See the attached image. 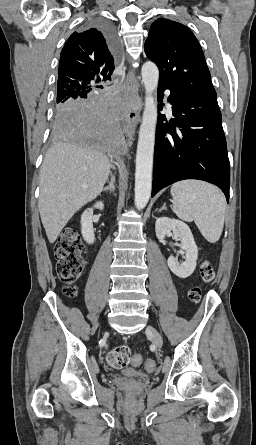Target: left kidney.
Instances as JSON below:
<instances>
[{
  "instance_id": "left-kidney-1",
  "label": "left kidney",
  "mask_w": 256,
  "mask_h": 445,
  "mask_svg": "<svg viewBox=\"0 0 256 445\" xmlns=\"http://www.w3.org/2000/svg\"><path fill=\"white\" fill-rule=\"evenodd\" d=\"M172 231L174 238L180 240V248L185 252V261L179 263L170 255L167 260L170 270L180 278L189 277L196 268L198 248L189 226L176 219L161 217L156 220L155 232L158 239L163 240ZM181 253V251H180Z\"/></svg>"
}]
</instances>
